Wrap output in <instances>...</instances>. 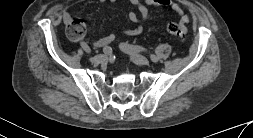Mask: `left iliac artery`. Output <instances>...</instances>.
Returning <instances> with one entry per match:
<instances>
[{
    "label": "left iliac artery",
    "instance_id": "left-iliac-artery-1",
    "mask_svg": "<svg viewBox=\"0 0 253 138\" xmlns=\"http://www.w3.org/2000/svg\"><path fill=\"white\" fill-rule=\"evenodd\" d=\"M121 47L125 48V49H128L130 51H134V52L145 51V48H143L141 46H134V45L126 44V43H122ZM150 58H151V60L153 62H157L158 61V58L155 55H153V54L150 55Z\"/></svg>",
    "mask_w": 253,
    "mask_h": 138
}]
</instances>
